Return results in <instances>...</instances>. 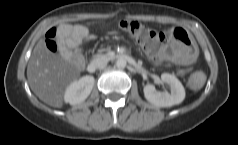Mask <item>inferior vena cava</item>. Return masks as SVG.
<instances>
[{
    "instance_id": "obj_1",
    "label": "inferior vena cava",
    "mask_w": 238,
    "mask_h": 145,
    "mask_svg": "<svg viewBox=\"0 0 238 145\" xmlns=\"http://www.w3.org/2000/svg\"><path fill=\"white\" fill-rule=\"evenodd\" d=\"M106 62H107V59L105 57L95 58L89 64V68L91 70H96V69L102 67L104 64H106Z\"/></svg>"
}]
</instances>
